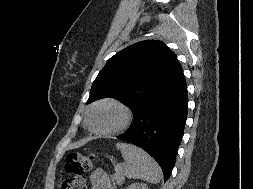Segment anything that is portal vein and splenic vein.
<instances>
[{"mask_svg":"<svg viewBox=\"0 0 253 189\" xmlns=\"http://www.w3.org/2000/svg\"><path fill=\"white\" fill-rule=\"evenodd\" d=\"M123 165H124V163H123ZM119 167H120V165H116L115 170H119Z\"/></svg>","mask_w":253,"mask_h":189,"instance_id":"obj_1","label":"portal vein and splenic vein"}]
</instances>
